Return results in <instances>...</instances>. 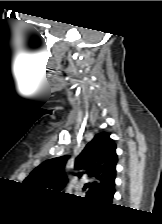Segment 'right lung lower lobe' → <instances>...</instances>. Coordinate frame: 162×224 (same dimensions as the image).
<instances>
[{"label":"right lung lower lobe","instance_id":"obj_1","mask_svg":"<svg viewBox=\"0 0 162 224\" xmlns=\"http://www.w3.org/2000/svg\"><path fill=\"white\" fill-rule=\"evenodd\" d=\"M113 196H114V194H113ZM113 196H111L110 198H108L109 202H111V201H112Z\"/></svg>","mask_w":162,"mask_h":224}]
</instances>
